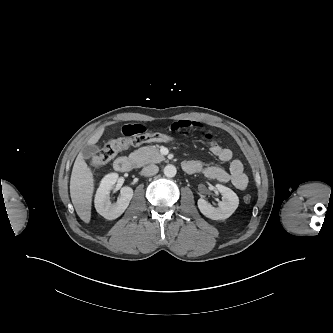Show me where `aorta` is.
<instances>
[{
	"mask_svg": "<svg viewBox=\"0 0 333 333\" xmlns=\"http://www.w3.org/2000/svg\"><path fill=\"white\" fill-rule=\"evenodd\" d=\"M176 173H177V169L174 165L169 164L164 167V175L166 177L172 178L176 175Z\"/></svg>",
	"mask_w": 333,
	"mask_h": 333,
	"instance_id": "762f6f07",
	"label": "aorta"
}]
</instances>
